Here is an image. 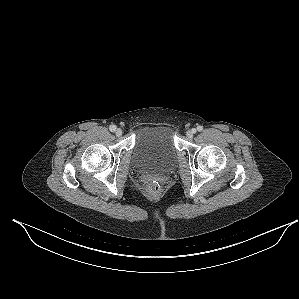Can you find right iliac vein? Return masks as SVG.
Segmentation results:
<instances>
[{"label":"right iliac vein","mask_w":299,"mask_h":299,"mask_svg":"<svg viewBox=\"0 0 299 299\" xmlns=\"http://www.w3.org/2000/svg\"><path fill=\"white\" fill-rule=\"evenodd\" d=\"M122 133H123L122 129H120V128L116 129V131H115V134L117 137H120L122 135Z\"/></svg>","instance_id":"1"}]
</instances>
